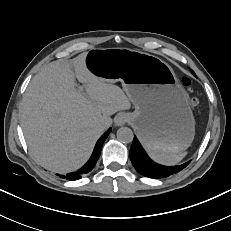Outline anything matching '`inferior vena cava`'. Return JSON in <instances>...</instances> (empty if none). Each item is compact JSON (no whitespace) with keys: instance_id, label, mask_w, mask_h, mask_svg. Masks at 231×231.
Instances as JSON below:
<instances>
[{"instance_id":"602c4592","label":"inferior vena cava","mask_w":231,"mask_h":231,"mask_svg":"<svg viewBox=\"0 0 231 231\" xmlns=\"http://www.w3.org/2000/svg\"><path fill=\"white\" fill-rule=\"evenodd\" d=\"M102 128H103V129H106V128H107V125H106V124H103V125H102Z\"/></svg>"}]
</instances>
